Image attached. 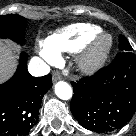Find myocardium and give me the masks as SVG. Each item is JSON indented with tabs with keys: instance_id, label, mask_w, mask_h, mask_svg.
I'll return each mask as SVG.
<instances>
[{
	"instance_id": "1",
	"label": "myocardium",
	"mask_w": 136,
	"mask_h": 136,
	"mask_svg": "<svg viewBox=\"0 0 136 136\" xmlns=\"http://www.w3.org/2000/svg\"><path fill=\"white\" fill-rule=\"evenodd\" d=\"M112 49V36L106 33L98 34L81 49L77 59L79 69L86 74L99 71L108 61Z\"/></svg>"
}]
</instances>
